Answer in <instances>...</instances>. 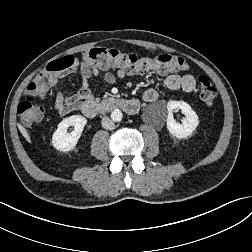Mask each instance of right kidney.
<instances>
[{
  "label": "right kidney",
  "instance_id": "right-kidney-1",
  "mask_svg": "<svg viewBox=\"0 0 252 252\" xmlns=\"http://www.w3.org/2000/svg\"><path fill=\"white\" fill-rule=\"evenodd\" d=\"M87 120L81 115H72L63 119L52 136V145L62 152L73 150L78 143ZM74 126V130L69 133L68 127Z\"/></svg>",
  "mask_w": 252,
  "mask_h": 252
}]
</instances>
